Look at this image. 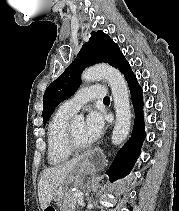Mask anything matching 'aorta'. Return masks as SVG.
<instances>
[{
	"mask_svg": "<svg viewBox=\"0 0 179 211\" xmlns=\"http://www.w3.org/2000/svg\"><path fill=\"white\" fill-rule=\"evenodd\" d=\"M85 82L105 79L112 91L116 121L112 133V143L121 144L128 136L131 125V111L127 84L121 72L109 65L100 64L86 69L81 76ZM81 117H78L80 119Z\"/></svg>",
	"mask_w": 179,
	"mask_h": 211,
	"instance_id": "1",
	"label": "aorta"
}]
</instances>
